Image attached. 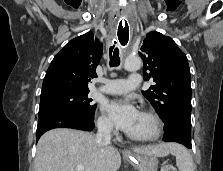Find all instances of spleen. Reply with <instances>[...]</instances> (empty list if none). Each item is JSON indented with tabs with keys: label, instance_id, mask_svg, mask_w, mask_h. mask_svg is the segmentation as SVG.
<instances>
[{
	"label": "spleen",
	"instance_id": "3e777b00",
	"mask_svg": "<svg viewBox=\"0 0 223 171\" xmlns=\"http://www.w3.org/2000/svg\"><path fill=\"white\" fill-rule=\"evenodd\" d=\"M172 154L176 157V165L179 171H194L192 156L184 147L174 144Z\"/></svg>",
	"mask_w": 223,
	"mask_h": 171
}]
</instances>
